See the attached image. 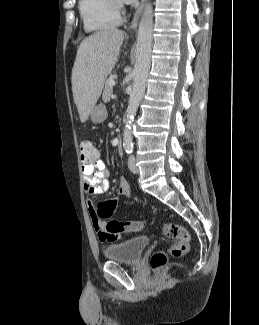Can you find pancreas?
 Returning a JSON list of instances; mask_svg holds the SVG:
<instances>
[{
  "instance_id": "cf45deb5",
  "label": "pancreas",
  "mask_w": 259,
  "mask_h": 325,
  "mask_svg": "<svg viewBox=\"0 0 259 325\" xmlns=\"http://www.w3.org/2000/svg\"><path fill=\"white\" fill-rule=\"evenodd\" d=\"M112 78L107 79L106 83H105V87H104V91L102 94V99L105 103L110 101V97L112 95L113 92V87L110 84V82L112 81Z\"/></svg>"
}]
</instances>
